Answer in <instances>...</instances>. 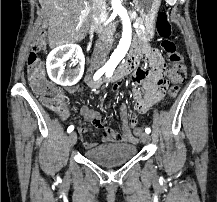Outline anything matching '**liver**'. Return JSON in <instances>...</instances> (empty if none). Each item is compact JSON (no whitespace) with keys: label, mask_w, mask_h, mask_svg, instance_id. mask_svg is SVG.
Masks as SVG:
<instances>
[{"label":"liver","mask_w":217,"mask_h":202,"mask_svg":"<svg viewBox=\"0 0 217 202\" xmlns=\"http://www.w3.org/2000/svg\"><path fill=\"white\" fill-rule=\"evenodd\" d=\"M39 4L47 14L50 48L85 38L90 28L91 0H39Z\"/></svg>","instance_id":"liver-1"}]
</instances>
